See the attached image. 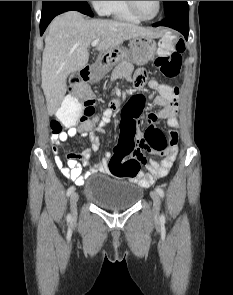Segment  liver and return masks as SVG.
I'll return each mask as SVG.
<instances>
[{"mask_svg":"<svg viewBox=\"0 0 233 295\" xmlns=\"http://www.w3.org/2000/svg\"><path fill=\"white\" fill-rule=\"evenodd\" d=\"M150 29L115 20H85L77 11L65 12L53 19L46 36L42 55L41 87L47 111L51 116L59 109L66 94L68 76L84 68L89 60L88 48L98 39V51L113 50L125 40L137 36L157 38Z\"/></svg>","mask_w":233,"mask_h":295,"instance_id":"liver-1","label":"liver"}]
</instances>
